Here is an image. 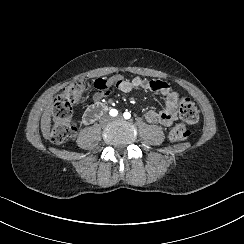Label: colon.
Returning <instances> with one entry per match:
<instances>
[{"label": "colon", "mask_w": 244, "mask_h": 244, "mask_svg": "<svg viewBox=\"0 0 244 244\" xmlns=\"http://www.w3.org/2000/svg\"><path fill=\"white\" fill-rule=\"evenodd\" d=\"M86 84L82 80L69 83L57 96L53 110V124L51 141L62 144L75 135V122L72 119V105L78 102L84 95ZM179 112L181 122L170 133L174 142L185 141L189 135V127L195 125L200 118V111L196 104L189 98L179 99Z\"/></svg>", "instance_id": "5ec220e1"}]
</instances>
